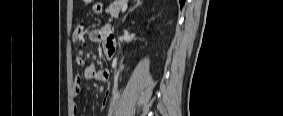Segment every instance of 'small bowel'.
I'll return each instance as SVG.
<instances>
[{
  "mask_svg": "<svg viewBox=\"0 0 283 116\" xmlns=\"http://www.w3.org/2000/svg\"><path fill=\"white\" fill-rule=\"evenodd\" d=\"M93 11L96 14H100L102 12V4L101 2H95L93 5ZM90 40L94 42L103 43L106 46V51L109 54H112L116 48V40L112 36L111 27L105 25L101 28L94 29L89 32ZM83 39V30L82 28H77L72 34V40L74 42H80ZM76 62L79 65H84V70L82 74H78L74 79L73 84V95L75 98H78L84 94V90L82 88V82L84 80L92 81H103L110 84V74L107 69H103L98 67V65L94 62L86 63L85 59L79 55L76 58ZM114 91L112 89H108L105 92V96L102 101V108L106 106L108 101L112 98ZM78 112V105H74V113Z\"/></svg>",
  "mask_w": 283,
  "mask_h": 116,
  "instance_id": "obj_1",
  "label": "small bowel"
}]
</instances>
